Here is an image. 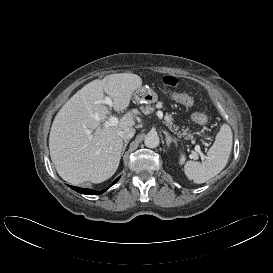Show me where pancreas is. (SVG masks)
I'll return each mask as SVG.
<instances>
[{
	"label": "pancreas",
	"mask_w": 273,
	"mask_h": 273,
	"mask_svg": "<svg viewBox=\"0 0 273 273\" xmlns=\"http://www.w3.org/2000/svg\"><path fill=\"white\" fill-rule=\"evenodd\" d=\"M158 106H161V104H158ZM154 110L153 107L151 106H146V107H141V111L143 114L148 115L150 113H152ZM165 125L175 134H177L178 136H185L187 139L192 138V134L188 133L187 129H182V132L179 131V126H176L173 123V118L171 115L166 114L165 115Z\"/></svg>",
	"instance_id": "1"
}]
</instances>
